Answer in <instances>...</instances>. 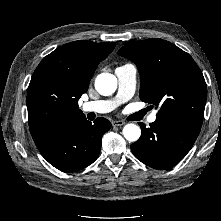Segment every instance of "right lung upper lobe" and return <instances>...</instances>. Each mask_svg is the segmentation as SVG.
Listing matches in <instances>:
<instances>
[{
  "mask_svg": "<svg viewBox=\"0 0 221 221\" xmlns=\"http://www.w3.org/2000/svg\"><path fill=\"white\" fill-rule=\"evenodd\" d=\"M114 47V42L74 41L42 59L27 92L32 137L63 121L85 117L78 100L88 90L97 65Z\"/></svg>",
  "mask_w": 221,
  "mask_h": 221,
  "instance_id": "cb5924a9",
  "label": "right lung upper lobe"
}]
</instances>
